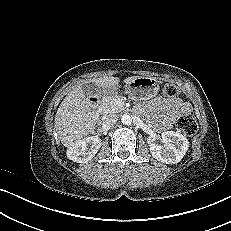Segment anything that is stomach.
Wrapping results in <instances>:
<instances>
[{
	"label": "stomach",
	"mask_w": 231,
	"mask_h": 231,
	"mask_svg": "<svg viewBox=\"0 0 231 231\" xmlns=\"http://www.w3.org/2000/svg\"><path fill=\"white\" fill-rule=\"evenodd\" d=\"M159 91V81L154 77H138L124 87V92L133 100H149ZM117 93L116 88L109 90L108 94Z\"/></svg>",
	"instance_id": "1"
}]
</instances>
